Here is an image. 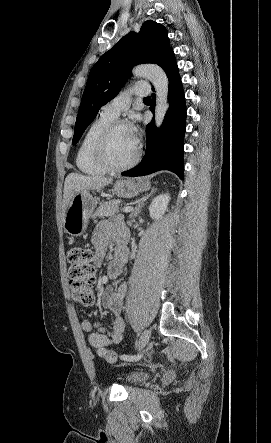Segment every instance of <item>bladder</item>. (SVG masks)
<instances>
[{
	"label": "bladder",
	"instance_id": "bladder-1",
	"mask_svg": "<svg viewBox=\"0 0 271 443\" xmlns=\"http://www.w3.org/2000/svg\"><path fill=\"white\" fill-rule=\"evenodd\" d=\"M148 377L149 374L145 371H134L124 377L123 383L127 386H133L142 383Z\"/></svg>",
	"mask_w": 271,
	"mask_h": 443
}]
</instances>
